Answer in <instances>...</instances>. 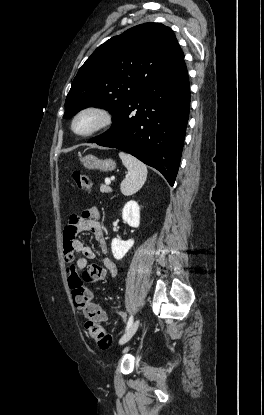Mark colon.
<instances>
[{
  "mask_svg": "<svg viewBox=\"0 0 264 415\" xmlns=\"http://www.w3.org/2000/svg\"><path fill=\"white\" fill-rule=\"evenodd\" d=\"M72 177L78 189L84 191L91 189L90 179L83 172L75 170ZM103 278L104 270L99 265H90L83 273H79L74 266H71L68 270L67 282L75 305L83 311L86 327L99 348L106 349L111 345V337L100 324L103 318L102 311L91 301V294L85 287L86 282H100Z\"/></svg>",
  "mask_w": 264,
  "mask_h": 415,
  "instance_id": "colon-1",
  "label": "colon"
}]
</instances>
